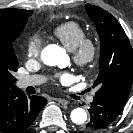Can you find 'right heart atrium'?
I'll use <instances>...</instances> for the list:
<instances>
[{
    "mask_svg": "<svg viewBox=\"0 0 133 133\" xmlns=\"http://www.w3.org/2000/svg\"><path fill=\"white\" fill-rule=\"evenodd\" d=\"M42 46H43V38L40 35L34 34L30 36L25 46L26 56L29 59L39 58Z\"/></svg>",
    "mask_w": 133,
    "mask_h": 133,
    "instance_id": "1",
    "label": "right heart atrium"
}]
</instances>
